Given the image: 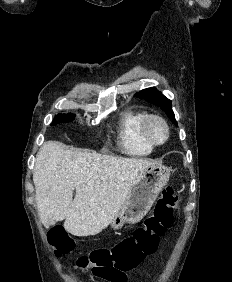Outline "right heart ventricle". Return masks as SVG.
Returning a JSON list of instances; mask_svg holds the SVG:
<instances>
[{
    "label": "right heart ventricle",
    "mask_w": 232,
    "mask_h": 282,
    "mask_svg": "<svg viewBox=\"0 0 232 282\" xmlns=\"http://www.w3.org/2000/svg\"><path fill=\"white\" fill-rule=\"evenodd\" d=\"M146 113L127 108L120 113L117 126V145L128 156L142 157L152 153L153 147L140 134V125Z\"/></svg>",
    "instance_id": "obj_1"
}]
</instances>
